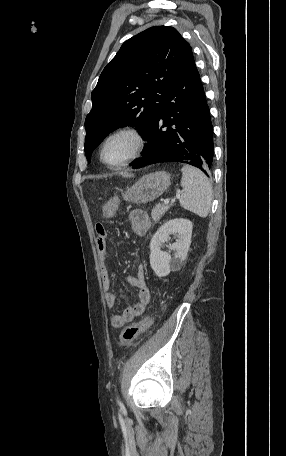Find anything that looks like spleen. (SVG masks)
Wrapping results in <instances>:
<instances>
[{"instance_id": "spleen-1", "label": "spleen", "mask_w": 286, "mask_h": 456, "mask_svg": "<svg viewBox=\"0 0 286 456\" xmlns=\"http://www.w3.org/2000/svg\"><path fill=\"white\" fill-rule=\"evenodd\" d=\"M181 171L183 191L179 197L180 205L199 217H207L212 202V186L208 178L202 171L189 165L183 166Z\"/></svg>"}]
</instances>
